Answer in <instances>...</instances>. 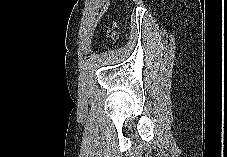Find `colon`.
Segmentation results:
<instances>
[{
	"instance_id": "colon-1",
	"label": "colon",
	"mask_w": 227,
	"mask_h": 157,
	"mask_svg": "<svg viewBox=\"0 0 227 157\" xmlns=\"http://www.w3.org/2000/svg\"><path fill=\"white\" fill-rule=\"evenodd\" d=\"M106 35H107L108 38H110L112 40H116L118 38L117 26L115 24L109 26L106 29Z\"/></svg>"
}]
</instances>
